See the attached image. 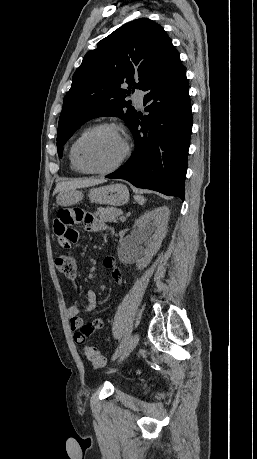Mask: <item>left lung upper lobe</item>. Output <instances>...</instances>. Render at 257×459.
<instances>
[{
	"instance_id": "1",
	"label": "left lung upper lobe",
	"mask_w": 257,
	"mask_h": 459,
	"mask_svg": "<svg viewBox=\"0 0 257 459\" xmlns=\"http://www.w3.org/2000/svg\"><path fill=\"white\" fill-rule=\"evenodd\" d=\"M173 49L160 25L140 18L121 26L89 51L63 100L57 134L59 157L67 140L90 119L116 116L130 126L137 111L125 97L135 88L143 90ZM124 82L128 90L120 87Z\"/></svg>"
}]
</instances>
